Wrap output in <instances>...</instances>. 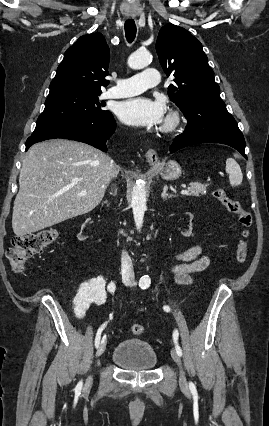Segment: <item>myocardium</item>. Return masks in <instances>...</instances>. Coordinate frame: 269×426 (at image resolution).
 Returning a JSON list of instances; mask_svg holds the SVG:
<instances>
[{"instance_id": "obj_1", "label": "myocardium", "mask_w": 269, "mask_h": 426, "mask_svg": "<svg viewBox=\"0 0 269 426\" xmlns=\"http://www.w3.org/2000/svg\"><path fill=\"white\" fill-rule=\"evenodd\" d=\"M183 117L180 112L172 111L166 118L163 126L164 133H173L182 125Z\"/></svg>"}]
</instances>
